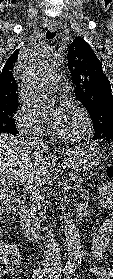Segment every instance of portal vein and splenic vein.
Segmentation results:
<instances>
[{"instance_id":"18ae733b","label":"portal vein and splenic vein","mask_w":113,"mask_h":279,"mask_svg":"<svg viewBox=\"0 0 113 279\" xmlns=\"http://www.w3.org/2000/svg\"><path fill=\"white\" fill-rule=\"evenodd\" d=\"M16 182L19 185L25 187L26 189H29L32 192V195L34 197H40L41 196L36 186L30 185V184L29 185L25 184V179L22 176H18L17 179H16Z\"/></svg>"}]
</instances>
